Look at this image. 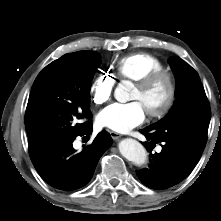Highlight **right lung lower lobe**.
<instances>
[{
  "label": "right lung lower lobe",
  "instance_id": "obj_1",
  "mask_svg": "<svg viewBox=\"0 0 221 221\" xmlns=\"http://www.w3.org/2000/svg\"><path fill=\"white\" fill-rule=\"evenodd\" d=\"M91 133L92 122L89 121L78 136L89 137ZM74 139L29 146L31 161L39 175L52 187L64 191L86 185L91 180L100 157L112 144L110 134L101 131L91 145L77 153L72 146Z\"/></svg>",
  "mask_w": 221,
  "mask_h": 221
}]
</instances>
